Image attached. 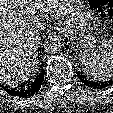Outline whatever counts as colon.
<instances>
[{
  "instance_id": "colon-1",
  "label": "colon",
  "mask_w": 113,
  "mask_h": 113,
  "mask_svg": "<svg viewBox=\"0 0 113 113\" xmlns=\"http://www.w3.org/2000/svg\"><path fill=\"white\" fill-rule=\"evenodd\" d=\"M90 3L104 16L113 18V0H90Z\"/></svg>"
}]
</instances>
